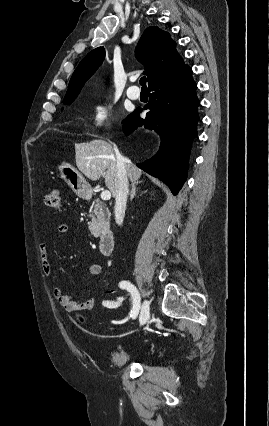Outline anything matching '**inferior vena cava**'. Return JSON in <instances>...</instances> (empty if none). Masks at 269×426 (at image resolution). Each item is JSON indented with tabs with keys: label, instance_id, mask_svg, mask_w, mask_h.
<instances>
[{
	"label": "inferior vena cava",
	"instance_id": "1",
	"mask_svg": "<svg viewBox=\"0 0 269 426\" xmlns=\"http://www.w3.org/2000/svg\"><path fill=\"white\" fill-rule=\"evenodd\" d=\"M114 151L117 162V190L115 193L116 202L114 212L116 223L121 225L124 220L127 197L129 193L127 160L120 154L116 146H114Z\"/></svg>",
	"mask_w": 269,
	"mask_h": 426
}]
</instances>
